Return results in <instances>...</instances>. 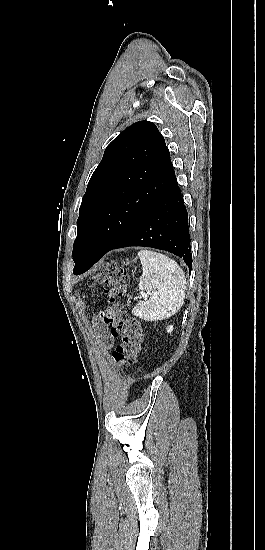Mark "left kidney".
Returning <instances> with one entry per match:
<instances>
[{"instance_id": "5707ae66", "label": "left kidney", "mask_w": 265, "mask_h": 550, "mask_svg": "<svg viewBox=\"0 0 265 550\" xmlns=\"http://www.w3.org/2000/svg\"><path fill=\"white\" fill-rule=\"evenodd\" d=\"M172 331H173V326L170 325V326L167 328V332H168V333H171Z\"/></svg>"}]
</instances>
